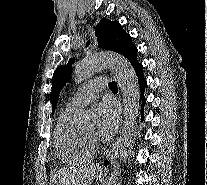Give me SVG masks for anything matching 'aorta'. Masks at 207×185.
Returning a JSON list of instances; mask_svg holds the SVG:
<instances>
[{
    "mask_svg": "<svg viewBox=\"0 0 207 185\" xmlns=\"http://www.w3.org/2000/svg\"><path fill=\"white\" fill-rule=\"evenodd\" d=\"M111 69L116 76L122 92L124 104V124L109 160L104 185H121L123 164L131 153L134 128L140 108L138 78L131 63L124 57L113 53L91 54L80 60L74 69L75 81L80 83L96 72ZM94 115L87 110H79L74 115V123L79 128H90Z\"/></svg>",
    "mask_w": 207,
    "mask_h": 185,
    "instance_id": "obj_1",
    "label": "aorta"
}]
</instances>
